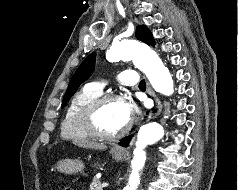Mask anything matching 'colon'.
Returning <instances> with one entry per match:
<instances>
[{
    "label": "colon",
    "mask_w": 238,
    "mask_h": 190,
    "mask_svg": "<svg viewBox=\"0 0 238 190\" xmlns=\"http://www.w3.org/2000/svg\"><path fill=\"white\" fill-rule=\"evenodd\" d=\"M63 190H74V189L71 187H65Z\"/></svg>",
    "instance_id": "1"
}]
</instances>
